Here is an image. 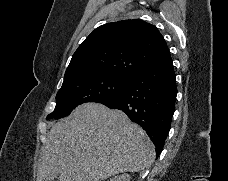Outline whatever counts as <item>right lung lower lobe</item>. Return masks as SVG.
Instances as JSON below:
<instances>
[{
	"label": "right lung lower lobe",
	"instance_id": "98d812e1",
	"mask_svg": "<svg viewBox=\"0 0 228 181\" xmlns=\"http://www.w3.org/2000/svg\"><path fill=\"white\" fill-rule=\"evenodd\" d=\"M176 96V77L169 56L136 73L119 95L102 104L122 110L142 126L154 143L158 157L170 130Z\"/></svg>",
	"mask_w": 228,
	"mask_h": 181
}]
</instances>
